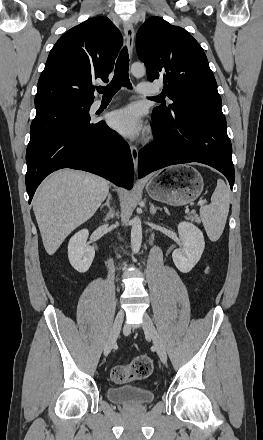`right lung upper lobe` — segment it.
<instances>
[{
    "instance_id": "right-lung-upper-lobe-1",
    "label": "right lung upper lobe",
    "mask_w": 263,
    "mask_h": 440,
    "mask_svg": "<svg viewBox=\"0 0 263 440\" xmlns=\"http://www.w3.org/2000/svg\"><path fill=\"white\" fill-rule=\"evenodd\" d=\"M122 42L120 31L106 17L88 19L70 29L50 51L38 81L35 107L92 103L94 81H108Z\"/></svg>"
}]
</instances>
